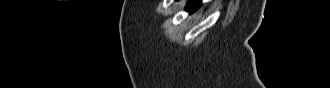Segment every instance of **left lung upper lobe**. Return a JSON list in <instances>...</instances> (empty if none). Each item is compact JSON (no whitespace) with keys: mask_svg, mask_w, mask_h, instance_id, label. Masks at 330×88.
<instances>
[{"mask_svg":"<svg viewBox=\"0 0 330 88\" xmlns=\"http://www.w3.org/2000/svg\"><path fill=\"white\" fill-rule=\"evenodd\" d=\"M200 6V3H197L195 6V10Z\"/></svg>","mask_w":330,"mask_h":88,"instance_id":"1","label":"left lung upper lobe"}]
</instances>
